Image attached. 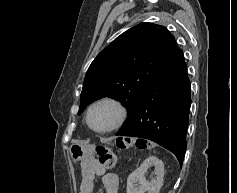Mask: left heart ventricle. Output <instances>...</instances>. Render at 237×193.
Listing matches in <instances>:
<instances>
[{
    "instance_id": "obj_1",
    "label": "left heart ventricle",
    "mask_w": 237,
    "mask_h": 193,
    "mask_svg": "<svg viewBox=\"0 0 237 193\" xmlns=\"http://www.w3.org/2000/svg\"><path fill=\"white\" fill-rule=\"evenodd\" d=\"M116 110L111 105H100L96 107L90 116L91 124L97 129H104L112 125L116 119Z\"/></svg>"
}]
</instances>
